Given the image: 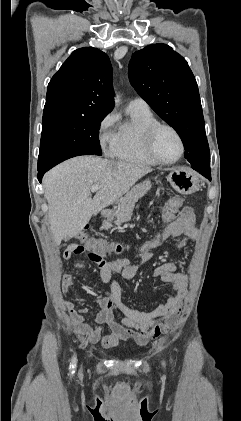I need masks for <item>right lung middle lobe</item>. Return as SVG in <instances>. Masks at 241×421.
Segmentation results:
<instances>
[{
    "instance_id": "dd1d6c3e",
    "label": "right lung middle lobe",
    "mask_w": 241,
    "mask_h": 421,
    "mask_svg": "<svg viewBox=\"0 0 241 421\" xmlns=\"http://www.w3.org/2000/svg\"><path fill=\"white\" fill-rule=\"evenodd\" d=\"M105 116L43 113L38 168L53 167L79 155H102L98 134Z\"/></svg>"
}]
</instances>
